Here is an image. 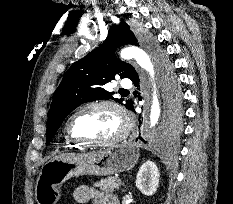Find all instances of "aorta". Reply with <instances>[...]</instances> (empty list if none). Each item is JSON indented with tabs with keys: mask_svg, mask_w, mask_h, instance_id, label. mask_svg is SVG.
<instances>
[{
	"mask_svg": "<svg viewBox=\"0 0 233 204\" xmlns=\"http://www.w3.org/2000/svg\"><path fill=\"white\" fill-rule=\"evenodd\" d=\"M121 58L123 59H135L139 66L146 70L150 77L154 79V66L147 55L145 51H143L140 48L134 47V46H129L121 51ZM154 91L152 94V104H151V111H150V120H149V126L150 128H153L157 125L160 114H161V107L159 103L158 96L156 94V86L155 84L153 85Z\"/></svg>",
	"mask_w": 233,
	"mask_h": 204,
	"instance_id": "obj_1",
	"label": "aorta"
}]
</instances>
